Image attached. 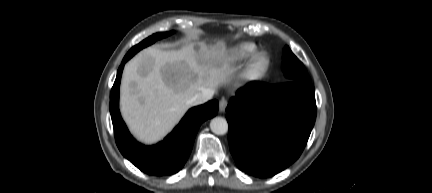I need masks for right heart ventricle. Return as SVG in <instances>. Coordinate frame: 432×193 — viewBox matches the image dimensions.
Wrapping results in <instances>:
<instances>
[{
	"label": "right heart ventricle",
	"instance_id": "obj_1",
	"mask_svg": "<svg viewBox=\"0 0 432 193\" xmlns=\"http://www.w3.org/2000/svg\"><path fill=\"white\" fill-rule=\"evenodd\" d=\"M257 51V45L250 42L241 43L230 49L225 56L227 65H236L248 60Z\"/></svg>",
	"mask_w": 432,
	"mask_h": 193
}]
</instances>
